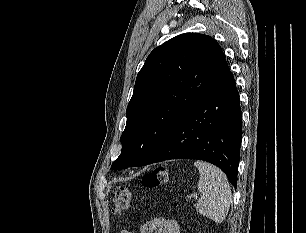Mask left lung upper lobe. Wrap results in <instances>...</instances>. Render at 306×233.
Here are the masks:
<instances>
[{"instance_id":"left-lung-upper-lobe-1","label":"left lung upper lobe","mask_w":306,"mask_h":233,"mask_svg":"<svg viewBox=\"0 0 306 233\" xmlns=\"http://www.w3.org/2000/svg\"><path fill=\"white\" fill-rule=\"evenodd\" d=\"M225 65L220 45L204 34H181L155 48L137 75L122 152L111 167L144 165Z\"/></svg>"}]
</instances>
